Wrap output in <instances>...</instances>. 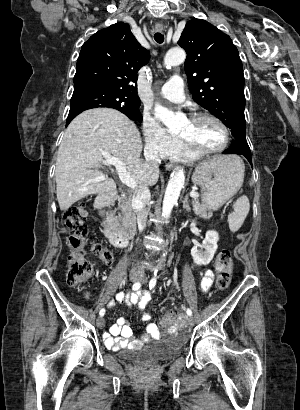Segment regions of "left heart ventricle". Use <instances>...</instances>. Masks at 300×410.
Instances as JSON below:
<instances>
[{"instance_id": "obj_1", "label": "left heart ventricle", "mask_w": 300, "mask_h": 410, "mask_svg": "<svg viewBox=\"0 0 300 410\" xmlns=\"http://www.w3.org/2000/svg\"><path fill=\"white\" fill-rule=\"evenodd\" d=\"M179 135L189 139L201 150H212L220 147L225 139L222 128L214 121L204 119L197 122L188 120Z\"/></svg>"}]
</instances>
